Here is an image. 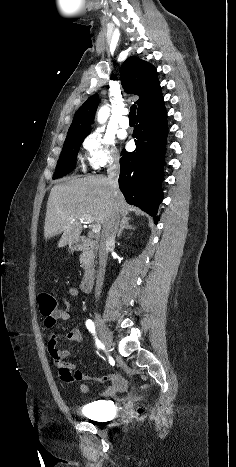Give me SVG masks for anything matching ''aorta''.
I'll use <instances>...</instances> for the list:
<instances>
[{
  "label": "aorta",
  "mask_w": 236,
  "mask_h": 467,
  "mask_svg": "<svg viewBox=\"0 0 236 467\" xmlns=\"http://www.w3.org/2000/svg\"><path fill=\"white\" fill-rule=\"evenodd\" d=\"M109 112H110V108L108 107V105L102 106V107L98 110V113H97V121H98L99 123H104V122H106L107 118L109 117Z\"/></svg>",
  "instance_id": "aorta-1"
}]
</instances>
